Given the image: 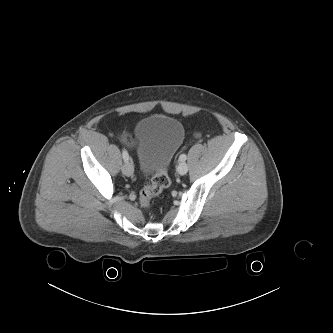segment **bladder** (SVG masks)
Masks as SVG:
<instances>
[{
  "mask_svg": "<svg viewBox=\"0 0 333 333\" xmlns=\"http://www.w3.org/2000/svg\"><path fill=\"white\" fill-rule=\"evenodd\" d=\"M185 137L182 123L166 115H153L140 120L134 129L141 171L151 176L165 170Z\"/></svg>",
  "mask_w": 333,
  "mask_h": 333,
  "instance_id": "obj_1",
  "label": "bladder"
}]
</instances>
